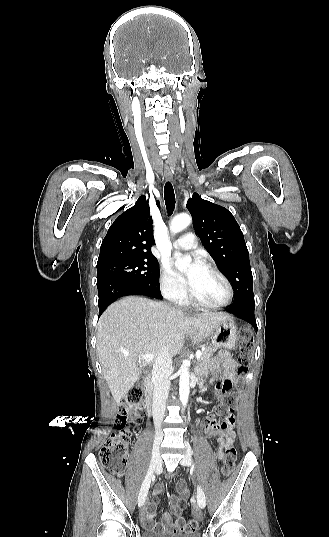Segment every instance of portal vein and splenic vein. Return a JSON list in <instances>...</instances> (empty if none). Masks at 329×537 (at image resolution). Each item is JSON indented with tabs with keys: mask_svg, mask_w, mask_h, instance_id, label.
Listing matches in <instances>:
<instances>
[{
	"mask_svg": "<svg viewBox=\"0 0 329 537\" xmlns=\"http://www.w3.org/2000/svg\"><path fill=\"white\" fill-rule=\"evenodd\" d=\"M124 354H125L126 356L129 355L128 352H124ZM201 356H202V352H201V351H197V352H196V355H195L196 359H200ZM154 357H155V355H153V354H145V355L140 356L139 359L148 361V360H152V359H154Z\"/></svg>",
	"mask_w": 329,
	"mask_h": 537,
	"instance_id": "obj_1",
	"label": "portal vein and splenic vein"
}]
</instances>
